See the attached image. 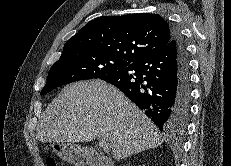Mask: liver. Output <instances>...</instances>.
I'll return each instance as SVG.
<instances>
[{"label": "liver", "mask_w": 231, "mask_h": 166, "mask_svg": "<svg viewBox=\"0 0 231 166\" xmlns=\"http://www.w3.org/2000/svg\"><path fill=\"white\" fill-rule=\"evenodd\" d=\"M109 139L113 158L122 160L163 143L157 127L116 87L100 80L67 85L40 117L41 142Z\"/></svg>", "instance_id": "obj_1"}]
</instances>
